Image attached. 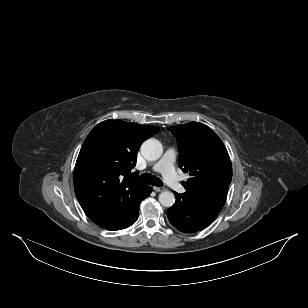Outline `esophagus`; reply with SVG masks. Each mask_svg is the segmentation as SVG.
Masks as SVG:
<instances>
[{
  "instance_id": "34e87169",
  "label": "esophagus",
  "mask_w": 308,
  "mask_h": 308,
  "mask_svg": "<svg viewBox=\"0 0 308 308\" xmlns=\"http://www.w3.org/2000/svg\"><path fill=\"white\" fill-rule=\"evenodd\" d=\"M153 189L156 191V192H162L165 190V188L163 187H157V186H154Z\"/></svg>"
}]
</instances>
